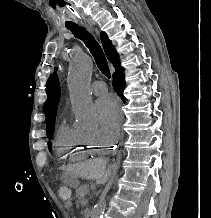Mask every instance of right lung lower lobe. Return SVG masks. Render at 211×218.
Wrapping results in <instances>:
<instances>
[{
	"label": "right lung lower lobe",
	"instance_id": "1",
	"mask_svg": "<svg viewBox=\"0 0 211 218\" xmlns=\"http://www.w3.org/2000/svg\"><path fill=\"white\" fill-rule=\"evenodd\" d=\"M116 72L113 74V87L116 93L123 99V91L125 88V81H124V69L120 66V63L113 65Z\"/></svg>",
	"mask_w": 211,
	"mask_h": 218
}]
</instances>
